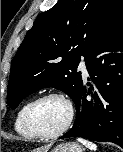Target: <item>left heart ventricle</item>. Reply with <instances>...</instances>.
Instances as JSON below:
<instances>
[{"instance_id": "1", "label": "left heart ventricle", "mask_w": 123, "mask_h": 152, "mask_svg": "<svg viewBox=\"0 0 123 152\" xmlns=\"http://www.w3.org/2000/svg\"><path fill=\"white\" fill-rule=\"evenodd\" d=\"M68 118V108L59 99H47L35 109L33 122L44 133H53L61 129Z\"/></svg>"}]
</instances>
